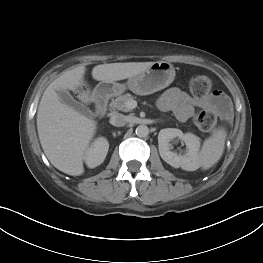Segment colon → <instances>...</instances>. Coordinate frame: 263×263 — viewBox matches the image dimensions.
Instances as JSON below:
<instances>
[{
	"label": "colon",
	"instance_id": "1",
	"mask_svg": "<svg viewBox=\"0 0 263 263\" xmlns=\"http://www.w3.org/2000/svg\"><path fill=\"white\" fill-rule=\"evenodd\" d=\"M213 86L212 79L207 75L193 76L189 81L191 93L199 98L210 95ZM195 125L206 132L212 131L216 124V115L214 112L204 109L198 111L194 118Z\"/></svg>",
	"mask_w": 263,
	"mask_h": 263
}]
</instances>
